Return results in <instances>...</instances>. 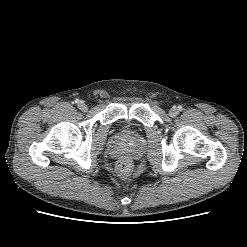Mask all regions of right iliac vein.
I'll return each instance as SVG.
<instances>
[{"label": "right iliac vein", "instance_id": "right-iliac-vein-1", "mask_svg": "<svg viewBox=\"0 0 247 247\" xmlns=\"http://www.w3.org/2000/svg\"><path fill=\"white\" fill-rule=\"evenodd\" d=\"M78 108H79L82 112H86V111L88 110V106H87L85 103H83V102H81V103L78 104Z\"/></svg>", "mask_w": 247, "mask_h": 247}]
</instances>
